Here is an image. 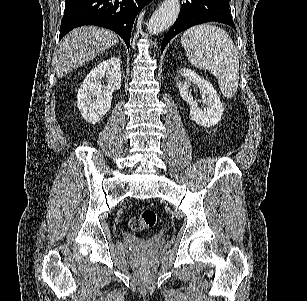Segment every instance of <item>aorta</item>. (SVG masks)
<instances>
[{
  "instance_id": "obj_1",
  "label": "aorta",
  "mask_w": 307,
  "mask_h": 301,
  "mask_svg": "<svg viewBox=\"0 0 307 301\" xmlns=\"http://www.w3.org/2000/svg\"><path fill=\"white\" fill-rule=\"evenodd\" d=\"M180 12V0H163L147 22L150 34H159L174 24Z\"/></svg>"
}]
</instances>
